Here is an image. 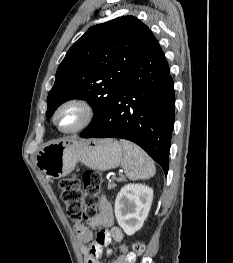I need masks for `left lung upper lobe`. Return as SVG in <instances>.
Masks as SVG:
<instances>
[{"mask_svg":"<svg viewBox=\"0 0 233 263\" xmlns=\"http://www.w3.org/2000/svg\"><path fill=\"white\" fill-rule=\"evenodd\" d=\"M156 38L134 16L95 25L67 52L48 94V118L70 99L87 100L94 118L81 136L91 130L114 102L125 78Z\"/></svg>","mask_w":233,"mask_h":263,"instance_id":"left-lung-upper-lobe-1","label":"left lung upper lobe"}]
</instances>
